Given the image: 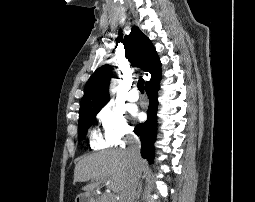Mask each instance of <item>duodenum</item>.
Instances as JSON below:
<instances>
[{"label": "duodenum", "instance_id": "410a0bca", "mask_svg": "<svg viewBox=\"0 0 255 202\" xmlns=\"http://www.w3.org/2000/svg\"><path fill=\"white\" fill-rule=\"evenodd\" d=\"M84 202H93L92 198L91 197H87L84 199Z\"/></svg>", "mask_w": 255, "mask_h": 202}]
</instances>
